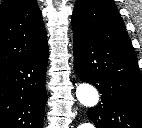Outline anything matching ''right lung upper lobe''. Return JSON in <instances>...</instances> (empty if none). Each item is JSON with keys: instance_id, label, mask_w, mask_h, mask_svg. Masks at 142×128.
Masks as SVG:
<instances>
[{"instance_id": "right-lung-upper-lobe-1", "label": "right lung upper lobe", "mask_w": 142, "mask_h": 128, "mask_svg": "<svg viewBox=\"0 0 142 128\" xmlns=\"http://www.w3.org/2000/svg\"><path fill=\"white\" fill-rule=\"evenodd\" d=\"M36 0H4L0 6V71L47 44Z\"/></svg>"}]
</instances>
